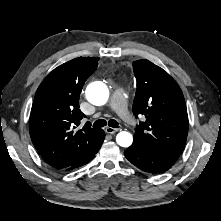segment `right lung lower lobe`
I'll list each match as a JSON object with an SVG mask.
<instances>
[{
    "instance_id": "obj_1",
    "label": "right lung lower lobe",
    "mask_w": 221,
    "mask_h": 221,
    "mask_svg": "<svg viewBox=\"0 0 221 221\" xmlns=\"http://www.w3.org/2000/svg\"><path fill=\"white\" fill-rule=\"evenodd\" d=\"M104 138H105V133H104V131H103V134H102V136H101L100 143H99L98 147L96 148V150L94 151V153H93L91 156H89V157H87V158L81 160L80 162H77V163L73 164L72 166L66 168L65 170H67V171H68V170H72V169L81 167V166L87 164L88 162H90V161L94 158V156H95V154L98 152V150L100 149V147H101V145H102V143H103V141H104Z\"/></svg>"
}]
</instances>
